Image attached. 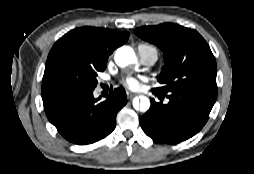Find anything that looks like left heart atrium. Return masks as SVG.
Wrapping results in <instances>:
<instances>
[{
    "instance_id": "1",
    "label": "left heart atrium",
    "mask_w": 254,
    "mask_h": 174,
    "mask_svg": "<svg viewBox=\"0 0 254 174\" xmlns=\"http://www.w3.org/2000/svg\"><path fill=\"white\" fill-rule=\"evenodd\" d=\"M141 77L127 76L122 80V84L130 90L136 91L141 88Z\"/></svg>"
}]
</instances>
